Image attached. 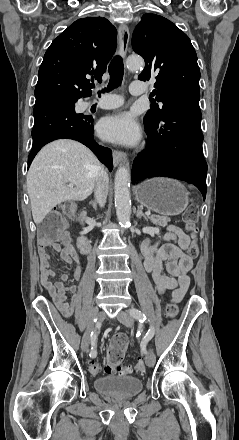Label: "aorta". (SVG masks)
<instances>
[{"label":"aorta","instance_id":"1","mask_svg":"<svg viewBox=\"0 0 239 440\" xmlns=\"http://www.w3.org/2000/svg\"><path fill=\"white\" fill-rule=\"evenodd\" d=\"M128 70H138L144 66V60L141 56H130L127 58ZM130 168L129 164L120 166L115 174V208L117 220L120 226H128L131 216V198H130Z\"/></svg>","mask_w":239,"mask_h":440}]
</instances>
